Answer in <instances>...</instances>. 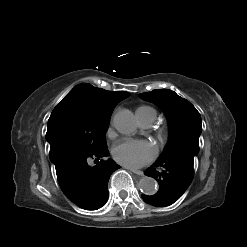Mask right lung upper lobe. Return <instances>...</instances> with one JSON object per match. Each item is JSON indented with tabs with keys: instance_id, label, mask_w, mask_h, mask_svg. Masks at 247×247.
I'll list each match as a JSON object with an SVG mask.
<instances>
[{
	"instance_id": "right-lung-upper-lobe-1",
	"label": "right lung upper lobe",
	"mask_w": 247,
	"mask_h": 247,
	"mask_svg": "<svg viewBox=\"0 0 247 247\" xmlns=\"http://www.w3.org/2000/svg\"><path fill=\"white\" fill-rule=\"evenodd\" d=\"M67 95L81 98L95 112L109 113L120 101L129 97L130 93L124 91L110 92L101 88H94L87 83H81L76 85Z\"/></svg>"
}]
</instances>
